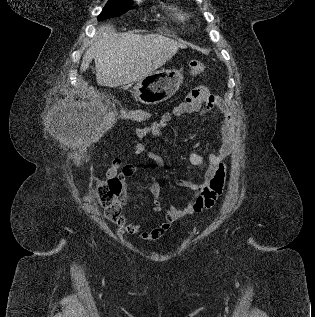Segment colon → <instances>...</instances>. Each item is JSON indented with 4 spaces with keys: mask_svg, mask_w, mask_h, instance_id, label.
<instances>
[{
    "mask_svg": "<svg viewBox=\"0 0 315 317\" xmlns=\"http://www.w3.org/2000/svg\"><path fill=\"white\" fill-rule=\"evenodd\" d=\"M206 67L203 62L194 60L189 65V73L191 76H196L205 71ZM150 116V113L145 110L129 113L125 116L127 120L144 119ZM121 184L118 180L102 181L98 187L99 200L105 207L106 216L113 222L120 223L123 208V199L120 194Z\"/></svg>",
    "mask_w": 315,
    "mask_h": 317,
    "instance_id": "1",
    "label": "colon"
}]
</instances>
